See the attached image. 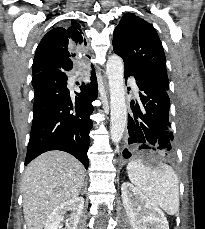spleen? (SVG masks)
I'll list each match as a JSON object with an SVG mask.
<instances>
[{
    "label": "spleen",
    "instance_id": "spleen-1",
    "mask_svg": "<svg viewBox=\"0 0 205 229\" xmlns=\"http://www.w3.org/2000/svg\"><path fill=\"white\" fill-rule=\"evenodd\" d=\"M130 181L152 202L165 212L174 215L179 210V180L170 166L152 169L141 160H133L127 165Z\"/></svg>",
    "mask_w": 205,
    "mask_h": 229
}]
</instances>
